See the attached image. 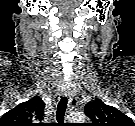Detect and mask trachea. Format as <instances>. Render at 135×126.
<instances>
[{
  "instance_id": "obj_1",
  "label": "trachea",
  "mask_w": 135,
  "mask_h": 126,
  "mask_svg": "<svg viewBox=\"0 0 135 126\" xmlns=\"http://www.w3.org/2000/svg\"><path fill=\"white\" fill-rule=\"evenodd\" d=\"M67 102H68V99L66 97H63L58 103L57 111H56V119H57L58 124H63Z\"/></svg>"
}]
</instances>
